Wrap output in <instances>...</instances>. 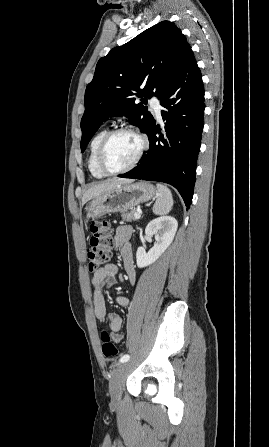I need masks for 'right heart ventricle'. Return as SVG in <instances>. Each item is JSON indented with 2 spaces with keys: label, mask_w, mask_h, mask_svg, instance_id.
<instances>
[{
  "label": "right heart ventricle",
  "mask_w": 269,
  "mask_h": 447,
  "mask_svg": "<svg viewBox=\"0 0 269 447\" xmlns=\"http://www.w3.org/2000/svg\"><path fill=\"white\" fill-rule=\"evenodd\" d=\"M109 131L108 128L100 129L92 138L90 143V152H89V160L88 167L91 174L96 178L105 177L107 174L101 170L98 165V152L100 144L104 138V136Z\"/></svg>",
  "instance_id": "e07e8e85"
}]
</instances>
